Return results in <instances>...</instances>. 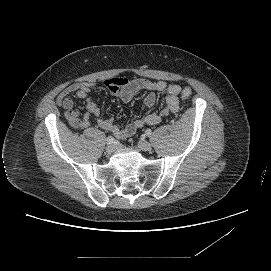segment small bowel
I'll use <instances>...</instances> for the list:
<instances>
[{"instance_id": "1", "label": "small bowel", "mask_w": 271, "mask_h": 271, "mask_svg": "<svg viewBox=\"0 0 271 271\" xmlns=\"http://www.w3.org/2000/svg\"><path fill=\"white\" fill-rule=\"evenodd\" d=\"M105 86L109 92L119 97L124 102H129L137 93L147 92L144 98V107L151 109L156 102V92H166L162 109L159 112H150L143 117L135 119L124 127L114 123L112 117H101L99 106L91 100L89 93L93 87L90 82H78L67 86L56 98V103L64 109V115L68 123L76 129H86L90 125V116L97 117V124L114 134L117 138H125L133 135L138 129L148 125H157L162 118L170 114H175L180 109L178 95L181 93V86L168 84L165 81H149L145 79L128 80L126 78H113L105 81ZM76 95L86 101V112L81 114L74 109V102L71 95Z\"/></svg>"}]
</instances>
